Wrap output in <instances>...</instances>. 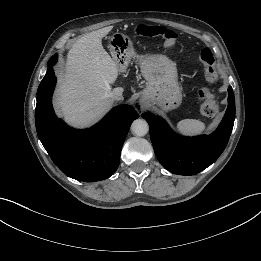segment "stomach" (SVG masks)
Listing matches in <instances>:
<instances>
[{
  "label": "stomach",
  "instance_id": "obj_1",
  "mask_svg": "<svg viewBox=\"0 0 261 261\" xmlns=\"http://www.w3.org/2000/svg\"><path fill=\"white\" fill-rule=\"evenodd\" d=\"M109 45L114 61L121 70L137 58L146 83L142 92V102L156 105L163 111L173 110L182 102V91L178 83L176 63L165 55H138L131 39L120 32L109 37Z\"/></svg>",
  "mask_w": 261,
  "mask_h": 261
}]
</instances>
